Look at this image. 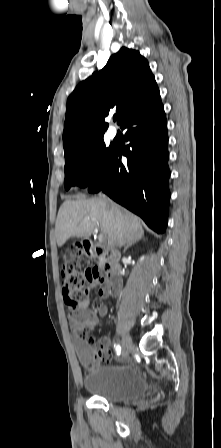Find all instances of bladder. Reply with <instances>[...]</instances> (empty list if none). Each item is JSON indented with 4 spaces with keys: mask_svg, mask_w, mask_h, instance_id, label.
Wrapping results in <instances>:
<instances>
[{
    "mask_svg": "<svg viewBox=\"0 0 221 448\" xmlns=\"http://www.w3.org/2000/svg\"><path fill=\"white\" fill-rule=\"evenodd\" d=\"M85 389L109 402L132 401L149 392L144 376L132 367H104L83 378Z\"/></svg>",
    "mask_w": 221,
    "mask_h": 448,
    "instance_id": "obj_1",
    "label": "bladder"
}]
</instances>
